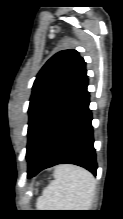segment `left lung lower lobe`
I'll return each mask as SVG.
<instances>
[{
    "instance_id": "1",
    "label": "left lung lower lobe",
    "mask_w": 123,
    "mask_h": 219,
    "mask_svg": "<svg viewBox=\"0 0 123 219\" xmlns=\"http://www.w3.org/2000/svg\"><path fill=\"white\" fill-rule=\"evenodd\" d=\"M86 77L44 125L28 162V178L57 164L81 166L96 175L92 115Z\"/></svg>"
}]
</instances>
